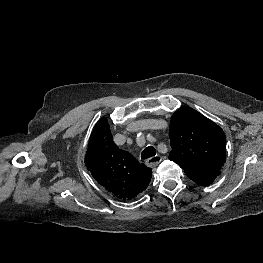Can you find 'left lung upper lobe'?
<instances>
[{
    "label": "left lung upper lobe",
    "mask_w": 263,
    "mask_h": 263,
    "mask_svg": "<svg viewBox=\"0 0 263 263\" xmlns=\"http://www.w3.org/2000/svg\"><path fill=\"white\" fill-rule=\"evenodd\" d=\"M169 159L185 174L218 176L226 160V137L221 127L189 108L177 110L170 123Z\"/></svg>",
    "instance_id": "left-lung-upper-lobe-1"
}]
</instances>
